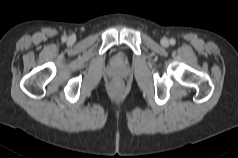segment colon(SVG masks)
Returning <instances> with one entry per match:
<instances>
[{"label": "colon", "mask_w": 238, "mask_h": 158, "mask_svg": "<svg viewBox=\"0 0 238 158\" xmlns=\"http://www.w3.org/2000/svg\"><path fill=\"white\" fill-rule=\"evenodd\" d=\"M112 92L114 94H120L122 92V85L120 82L116 81L112 85Z\"/></svg>", "instance_id": "obj_1"}]
</instances>
